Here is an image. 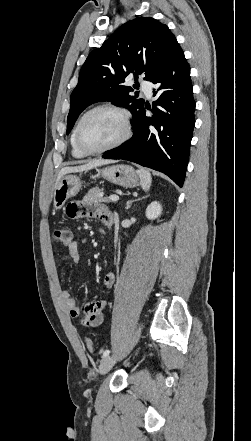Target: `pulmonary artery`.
<instances>
[{
    "label": "pulmonary artery",
    "instance_id": "obj_1",
    "mask_svg": "<svg viewBox=\"0 0 251 441\" xmlns=\"http://www.w3.org/2000/svg\"><path fill=\"white\" fill-rule=\"evenodd\" d=\"M141 90L145 93L147 97L152 96L153 84L149 81H141L140 83Z\"/></svg>",
    "mask_w": 251,
    "mask_h": 441
}]
</instances>
